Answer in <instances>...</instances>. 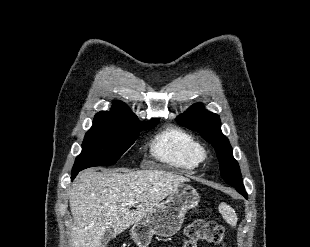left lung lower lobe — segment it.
<instances>
[{
    "instance_id": "0a47b994",
    "label": "left lung lower lobe",
    "mask_w": 310,
    "mask_h": 247,
    "mask_svg": "<svg viewBox=\"0 0 310 247\" xmlns=\"http://www.w3.org/2000/svg\"><path fill=\"white\" fill-rule=\"evenodd\" d=\"M236 188V190L241 194L243 195L246 199H248V195L245 191V188H244V185H237V186H234Z\"/></svg>"
}]
</instances>
